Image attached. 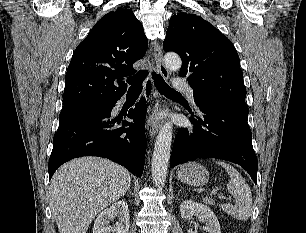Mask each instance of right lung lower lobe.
Here are the masks:
<instances>
[{
	"label": "right lung lower lobe",
	"instance_id": "1",
	"mask_svg": "<svg viewBox=\"0 0 306 233\" xmlns=\"http://www.w3.org/2000/svg\"><path fill=\"white\" fill-rule=\"evenodd\" d=\"M150 88L148 82V94ZM115 103L59 120L49 159V179L63 163L82 156L108 158L126 167L134 175L142 176L146 151V100L142 98L135 108L129 110L127 116L134 123L122 122V125H129V128H118L120 121L111 118Z\"/></svg>",
	"mask_w": 306,
	"mask_h": 233
}]
</instances>
